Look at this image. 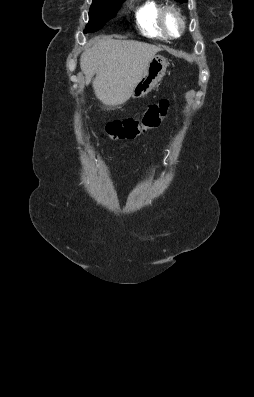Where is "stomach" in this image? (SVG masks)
<instances>
[{"label": "stomach", "mask_w": 254, "mask_h": 397, "mask_svg": "<svg viewBox=\"0 0 254 397\" xmlns=\"http://www.w3.org/2000/svg\"><path fill=\"white\" fill-rule=\"evenodd\" d=\"M167 61L161 55L154 56L148 63L143 75L134 86L131 97L141 98L149 93L166 73Z\"/></svg>", "instance_id": "0dacf381"}]
</instances>
